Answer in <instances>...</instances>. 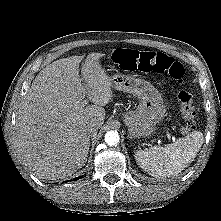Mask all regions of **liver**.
I'll list each match as a JSON object with an SVG mask.
<instances>
[{"label":"liver","instance_id":"1","mask_svg":"<svg viewBox=\"0 0 221 221\" xmlns=\"http://www.w3.org/2000/svg\"><path fill=\"white\" fill-rule=\"evenodd\" d=\"M100 53L89 54L79 75L82 56L52 62L24 95L13 137L17 155L39 179L59 180L80 169L90 146L87 125L105 119L112 100L110 76ZM85 96L93 104H85Z\"/></svg>","mask_w":221,"mask_h":221}]
</instances>
